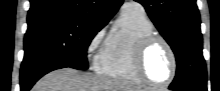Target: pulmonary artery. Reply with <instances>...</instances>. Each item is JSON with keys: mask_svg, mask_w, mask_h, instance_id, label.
Returning <instances> with one entry per match:
<instances>
[{"mask_svg": "<svg viewBox=\"0 0 220 91\" xmlns=\"http://www.w3.org/2000/svg\"><path fill=\"white\" fill-rule=\"evenodd\" d=\"M122 11H138L143 12V7L136 2H128L123 6Z\"/></svg>", "mask_w": 220, "mask_h": 91, "instance_id": "1", "label": "pulmonary artery"}]
</instances>
